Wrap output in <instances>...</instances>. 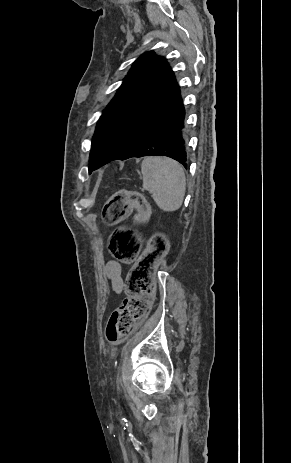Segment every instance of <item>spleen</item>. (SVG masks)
<instances>
[{
    "label": "spleen",
    "mask_w": 291,
    "mask_h": 463,
    "mask_svg": "<svg viewBox=\"0 0 291 463\" xmlns=\"http://www.w3.org/2000/svg\"><path fill=\"white\" fill-rule=\"evenodd\" d=\"M143 189L152 193L157 206L173 212L182 205L186 178L179 163L167 157H147L142 161Z\"/></svg>",
    "instance_id": "spleen-1"
}]
</instances>
